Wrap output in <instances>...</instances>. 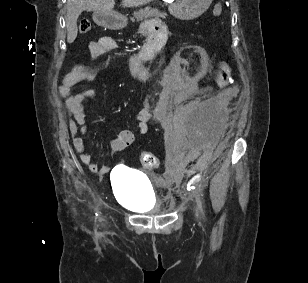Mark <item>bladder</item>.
Listing matches in <instances>:
<instances>
[{
  "label": "bladder",
  "mask_w": 308,
  "mask_h": 283,
  "mask_svg": "<svg viewBox=\"0 0 308 283\" xmlns=\"http://www.w3.org/2000/svg\"><path fill=\"white\" fill-rule=\"evenodd\" d=\"M110 178L114 196L122 205L141 213L159 212L154 188L145 174L118 166L112 170Z\"/></svg>",
  "instance_id": "obj_1"
}]
</instances>
